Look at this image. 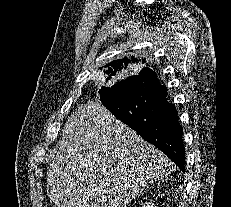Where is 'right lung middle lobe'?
Wrapping results in <instances>:
<instances>
[{"label": "right lung middle lobe", "mask_w": 231, "mask_h": 207, "mask_svg": "<svg viewBox=\"0 0 231 207\" xmlns=\"http://www.w3.org/2000/svg\"><path fill=\"white\" fill-rule=\"evenodd\" d=\"M123 82H124V81L122 80V81L118 82L117 84H115V85H113V86H111V87H103V88H101V89L99 90V94H100L99 96H104V95L106 94V92L112 91V90L118 88V86H119L120 84H122Z\"/></svg>", "instance_id": "right-lung-middle-lobe-1"}]
</instances>
